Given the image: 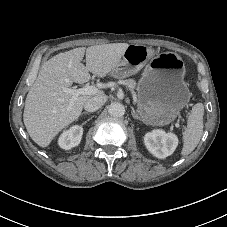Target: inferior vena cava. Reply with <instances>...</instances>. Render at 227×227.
Returning <instances> with one entry per match:
<instances>
[{
    "label": "inferior vena cava",
    "instance_id": "obj_1",
    "mask_svg": "<svg viewBox=\"0 0 227 227\" xmlns=\"http://www.w3.org/2000/svg\"><path fill=\"white\" fill-rule=\"evenodd\" d=\"M105 102H106V97L104 95L94 96L89 98L85 102L84 109L88 112H94V111H97L99 108H101Z\"/></svg>",
    "mask_w": 227,
    "mask_h": 227
}]
</instances>
